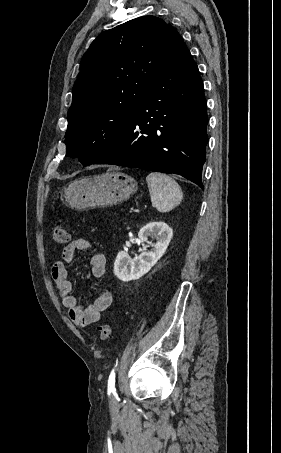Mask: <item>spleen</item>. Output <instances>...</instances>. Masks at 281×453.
Wrapping results in <instances>:
<instances>
[{
  "label": "spleen",
  "instance_id": "spleen-1",
  "mask_svg": "<svg viewBox=\"0 0 281 453\" xmlns=\"http://www.w3.org/2000/svg\"><path fill=\"white\" fill-rule=\"evenodd\" d=\"M151 202L159 212H168L180 204L182 190L174 178L162 172H150L146 176Z\"/></svg>",
  "mask_w": 281,
  "mask_h": 453
}]
</instances>
